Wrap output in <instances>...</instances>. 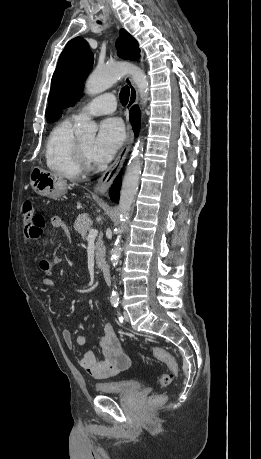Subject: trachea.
<instances>
[{
	"label": "trachea",
	"instance_id": "obj_1",
	"mask_svg": "<svg viewBox=\"0 0 261 459\" xmlns=\"http://www.w3.org/2000/svg\"><path fill=\"white\" fill-rule=\"evenodd\" d=\"M129 95H130V90H129V87L125 86L124 88H122V90L120 91V102L123 106H125L128 101H129Z\"/></svg>",
	"mask_w": 261,
	"mask_h": 459
}]
</instances>
